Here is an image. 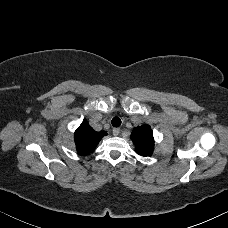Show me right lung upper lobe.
<instances>
[{"label": "right lung upper lobe", "instance_id": "1", "mask_svg": "<svg viewBox=\"0 0 228 228\" xmlns=\"http://www.w3.org/2000/svg\"><path fill=\"white\" fill-rule=\"evenodd\" d=\"M105 135L106 132H96L87 122L83 121L74 134L78 153L81 155L91 153Z\"/></svg>", "mask_w": 228, "mask_h": 228}]
</instances>
